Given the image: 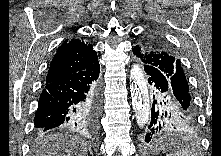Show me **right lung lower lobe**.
I'll list each match as a JSON object with an SVG mask.
<instances>
[{"mask_svg":"<svg viewBox=\"0 0 221 156\" xmlns=\"http://www.w3.org/2000/svg\"><path fill=\"white\" fill-rule=\"evenodd\" d=\"M99 62L46 83L34 118L37 134L96 126L100 104Z\"/></svg>","mask_w":221,"mask_h":156,"instance_id":"1","label":"right lung lower lobe"}]
</instances>
